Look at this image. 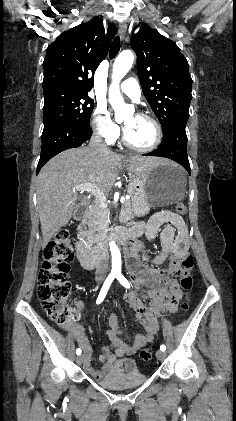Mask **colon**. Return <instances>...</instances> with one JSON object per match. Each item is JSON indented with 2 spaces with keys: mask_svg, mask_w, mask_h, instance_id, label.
Here are the masks:
<instances>
[{
  "mask_svg": "<svg viewBox=\"0 0 236 421\" xmlns=\"http://www.w3.org/2000/svg\"><path fill=\"white\" fill-rule=\"evenodd\" d=\"M177 213L184 215L187 211L182 202L176 205ZM73 242L67 229L59 230L44 249L43 263L38 275V297L45 313L60 326L66 327L80 316L79 311L70 307L67 298L71 291L68 280L70 262L73 260ZM194 267V258L189 253L181 256L178 264V278L180 287L189 291L193 280L191 271ZM182 309H188L187 300L183 302ZM144 361L153 358V350L144 348L140 352Z\"/></svg>",
  "mask_w": 236,
  "mask_h": 421,
  "instance_id": "obj_1",
  "label": "colon"
}]
</instances>
